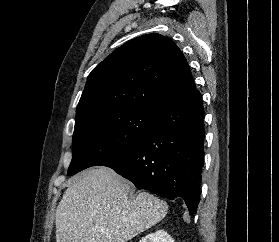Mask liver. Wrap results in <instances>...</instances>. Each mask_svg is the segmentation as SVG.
I'll return each instance as SVG.
<instances>
[{"label": "liver", "instance_id": "1", "mask_svg": "<svg viewBox=\"0 0 279 242\" xmlns=\"http://www.w3.org/2000/svg\"><path fill=\"white\" fill-rule=\"evenodd\" d=\"M130 191L131 183L107 167L71 178L56 210V242H127L167 214L165 201Z\"/></svg>", "mask_w": 279, "mask_h": 242}]
</instances>
